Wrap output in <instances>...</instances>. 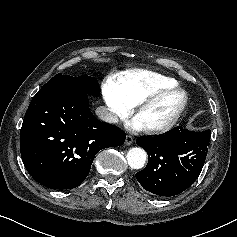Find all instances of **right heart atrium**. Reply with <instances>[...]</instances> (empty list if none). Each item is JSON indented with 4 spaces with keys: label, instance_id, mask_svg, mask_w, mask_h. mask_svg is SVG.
Masks as SVG:
<instances>
[{
    "label": "right heart atrium",
    "instance_id": "right-heart-atrium-1",
    "mask_svg": "<svg viewBox=\"0 0 237 237\" xmlns=\"http://www.w3.org/2000/svg\"><path fill=\"white\" fill-rule=\"evenodd\" d=\"M102 95L107 106L108 119L111 122H117L131 113L133 105L121 94L113 78H108L103 83Z\"/></svg>",
    "mask_w": 237,
    "mask_h": 237
}]
</instances>
